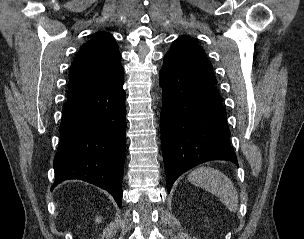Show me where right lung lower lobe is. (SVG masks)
<instances>
[{"label": "right lung lower lobe", "mask_w": 304, "mask_h": 239, "mask_svg": "<svg viewBox=\"0 0 304 239\" xmlns=\"http://www.w3.org/2000/svg\"><path fill=\"white\" fill-rule=\"evenodd\" d=\"M123 84L124 72L64 106L52 189L64 180L80 179L110 192L121 207L126 145Z\"/></svg>", "instance_id": "right-lung-lower-lobe-1"}]
</instances>
